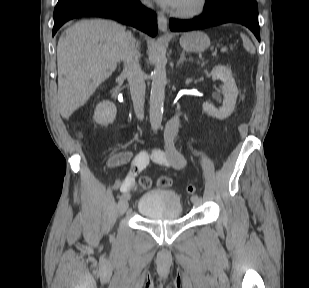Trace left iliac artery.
Segmentation results:
<instances>
[{
  "instance_id": "1",
  "label": "left iliac artery",
  "mask_w": 309,
  "mask_h": 288,
  "mask_svg": "<svg viewBox=\"0 0 309 288\" xmlns=\"http://www.w3.org/2000/svg\"><path fill=\"white\" fill-rule=\"evenodd\" d=\"M197 198H199L198 196H193L192 198H191V200H195V199H197Z\"/></svg>"
}]
</instances>
